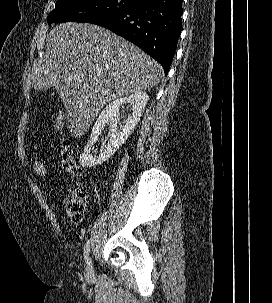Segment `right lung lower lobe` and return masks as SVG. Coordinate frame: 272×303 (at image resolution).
I'll return each instance as SVG.
<instances>
[{"mask_svg": "<svg viewBox=\"0 0 272 303\" xmlns=\"http://www.w3.org/2000/svg\"><path fill=\"white\" fill-rule=\"evenodd\" d=\"M182 0H137L130 8L98 19L105 27L137 45L168 73L181 33Z\"/></svg>", "mask_w": 272, "mask_h": 303, "instance_id": "obj_1", "label": "right lung lower lobe"}]
</instances>
